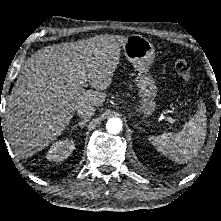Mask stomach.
Segmentation results:
<instances>
[{"label": "stomach", "instance_id": "0dacf381", "mask_svg": "<svg viewBox=\"0 0 221 221\" xmlns=\"http://www.w3.org/2000/svg\"><path fill=\"white\" fill-rule=\"evenodd\" d=\"M123 51L127 60L141 73L136 80L138 93L141 97V104L137 111L143 116L149 117L156 110L157 86L152 76L145 73L154 61V46L142 35L134 34L127 37Z\"/></svg>", "mask_w": 221, "mask_h": 221}]
</instances>
